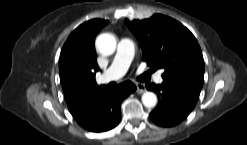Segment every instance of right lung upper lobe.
<instances>
[{
	"instance_id": "cb5924a9",
	"label": "right lung upper lobe",
	"mask_w": 247,
	"mask_h": 145,
	"mask_svg": "<svg viewBox=\"0 0 247 145\" xmlns=\"http://www.w3.org/2000/svg\"><path fill=\"white\" fill-rule=\"evenodd\" d=\"M107 23V20L93 19L81 24L62 48L59 73L69 109L102 88L95 82L98 67L93 41Z\"/></svg>"
}]
</instances>
